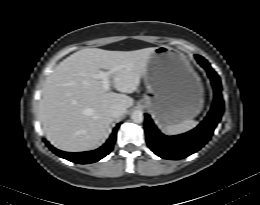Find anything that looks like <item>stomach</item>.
<instances>
[{
    "mask_svg": "<svg viewBox=\"0 0 260 205\" xmlns=\"http://www.w3.org/2000/svg\"><path fill=\"white\" fill-rule=\"evenodd\" d=\"M144 81L147 94L142 103L162 128L194 118L203 107L201 80L187 56L177 49L156 47Z\"/></svg>",
    "mask_w": 260,
    "mask_h": 205,
    "instance_id": "1",
    "label": "stomach"
}]
</instances>
